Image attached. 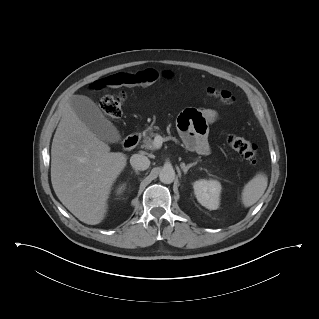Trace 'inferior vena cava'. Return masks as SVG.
<instances>
[{
  "mask_svg": "<svg viewBox=\"0 0 319 319\" xmlns=\"http://www.w3.org/2000/svg\"><path fill=\"white\" fill-rule=\"evenodd\" d=\"M130 164L135 170H146L150 166V160L141 154H134L130 158Z\"/></svg>",
  "mask_w": 319,
  "mask_h": 319,
  "instance_id": "602c4592",
  "label": "inferior vena cava"
}]
</instances>
